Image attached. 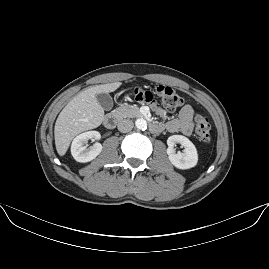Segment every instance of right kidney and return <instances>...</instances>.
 Masks as SVG:
<instances>
[{
    "instance_id": "ca27d5eb",
    "label": "right kidney",
    "mask_w": 269,
    "mask_h": 269,
    "mask_svg": "<svg viewBox=\"0 0 269 269\" xmlns=\"http://www.w3.org/2000/svg\"><path fill=\"white\" fill-rule=\"evenodd\" d=\"M101 135L98 131L84 132L74 138L71 145V154L77 162L85 163L95 159L102 151V145L96 142L89 149L85 146L89 139L99 140Z\"/></svg>"
}]
</instances>
